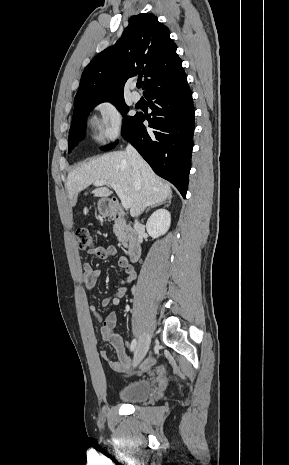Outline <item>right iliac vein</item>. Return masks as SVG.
Returning <instances> with one entry per match:
<instances>
[{"label":"right iliac vein","instance_id":"obj_1","mask_svg":"<svg viewBox=\"0 0 289 465\" xmlns=\"http://www.w3.org/2000/svg\"><path fill=\"white\" fill-rule=\"evenodd\" d=\"M151 335L149 333H144L137 344L134 353L133 365L136 366L146 355L149 345H150Z\"/></svg>","mask_w":289,"mask_h":465}]
</instances>
